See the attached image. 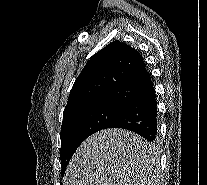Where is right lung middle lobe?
<instances>
[{"label": "right lung middle lobe", "instance_id": "obj_1", "mask_svg": "<svg viewBox=\"0 0 207 185\" xmlns=\"http://www.w3.org/2000/svg\"><path fill=\"white\" fill-rule=\"evenodd\" d=\"M122 109L101 105L84 109L63 119L61 127V174L79 145L93 133L105 129Z\"/></svg>", "mask_w": 207, "mask_h": 185}]
</instances>
